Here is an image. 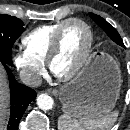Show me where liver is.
<instances>
[{
  "label": "liver",
  "mask_w": 130,
  "mask_h": 130,
  "mask_svg": "<svg viewBox=\"0 0 130 130\" xmlns=\"http://www.w3.org/2000/svg\"><path fill=\"white\" fill-rule=\"evenodd\" d=\"M9 91L6 78V72L0 64V130L5 124L6 115L8 113Z\"/></svg>",
  "instance_id": "6515ba94"
}]
</instances>
